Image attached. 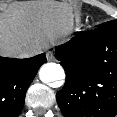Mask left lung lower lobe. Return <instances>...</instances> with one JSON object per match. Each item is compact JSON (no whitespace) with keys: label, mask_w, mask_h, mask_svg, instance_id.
Segmentation results:
<instances>
[{"label":"left lung lower lobe","mask_w":117,"mask_h":117,"mask_svg":"<svg viewBox=\"0 0 117 117\" xmlns=\"http://www.w3.org/2000/svg\"><path fill=\"white\" fill-rule=\"evenodd\" d=\"M66 72L56 94L64 117H114L117 114V21L80 32L55 48Z\"/></svg>","instance_id":"1"}]
</instances>
